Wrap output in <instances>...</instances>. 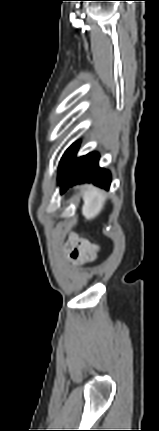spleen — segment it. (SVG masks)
Returning <instances> with one entry per match:
<instances>
[{
  "label": "spleen",
  "mask_w": 159,
  "mask_h": 431,
  "mask_svg": "<svg viewBox=\"0 0 159 431\" xmlns=\"http://www.w3.org/2000/svg\"><path fill=\"white\" fill-rule=\"evenodd\" d=\"M104 202V193L96 188H93L84 196V204L82 207L83 216L87 220L93 219L102 210Z\"/></svg>",
  "instance_id": "3e777b00"
}]
</instances>
